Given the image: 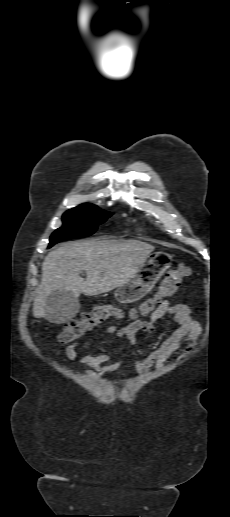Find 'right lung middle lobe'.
<instances>
[{
	"instance_id": "right-lung-middle-lobe-1",
	"label": "right lung middle lobe",
	"mask_w": 230,
	"mask_h": 517,
	"mask_svg": "<svg viewBox=\"0 0 230 517\" xmlns=\"http://www.w3.org/2000/svg\"><path fill=\"white\" fill-rule=\"evenodd\" d=\"M112 213L99 210L91 204H82L63 214V226L54 231L50 237L49 248L54 244L70 239L86 237L97 230Z\"/></svg>"
}]
</instances>
